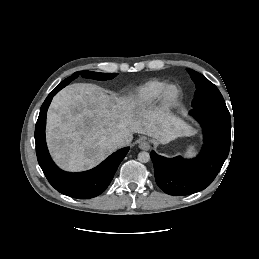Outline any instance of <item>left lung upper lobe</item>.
<instances>
[{"label": "left lung upper lobe", "mask_w": 259, "mask_h": 259, "mask_svg": "<svg viewBox=\"0 0 259 259\" xmlns=\"http://www.w3.org/2000/svg\"><path fill=\"white\" fill-rule=\"evenodd\" d=\"M196 84V92L192 101L193 108L208 105H226L218 88L202 74L187 69Z\"/></svg>", "instance_id": "1"}]
</instances>
